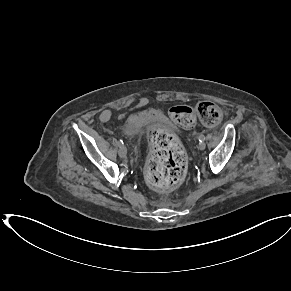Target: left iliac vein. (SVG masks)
Returning <instances> with one entry per match:
<instances>
[{
    "label": "left iliac vein",
    "mask_w": 291,
    "mask_h": 291,
    "mask_svg": "<svg viewBox=\"0 0 291 291\" xmlns=\"http://www.w3.org/2000/svg\"><path fill=\"white\" fill-rule=\"evenodd\" d=\"M198 148H199L200 150H204V149L206 148V144L202 141V142H200V143L198 144Z\"/></svg>",
    "instance_id": "obj_1"
}]
</instances>
